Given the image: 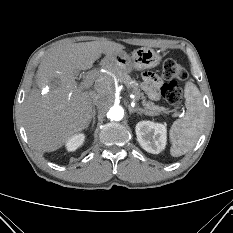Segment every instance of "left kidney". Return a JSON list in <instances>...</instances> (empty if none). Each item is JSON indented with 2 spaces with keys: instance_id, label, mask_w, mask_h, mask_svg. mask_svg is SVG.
Returning <instances> with one entry per match:
<instances>
[{
  "instance_id": "left-kidney-1",
  "label": "left kidney",
  "mask_w": 233,
  "mask_h": 233,
  "mask_svg": "<svg viewBox=\"0 0 233 233\" xmlns=\"http://www.w3.org/2000/svg\"><path fill=\"white\" fill-rule=\"evenodd\" d=\"M137 140L141 147L152 154H159L165 149L167 129L163 124L151 121H140L136 128Z\"/></svg>"
}]
</instances>
